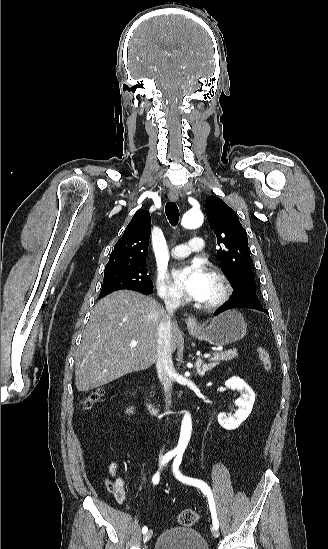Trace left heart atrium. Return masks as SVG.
I'll use <instances>...</instances> for the list:
<instances>
[{"label": "left heart atrium", "mask_w": 328, "mask_h": 549, "mask_svg": "<svg viewBox=\"0 0 328 549\" xmlns=\"http://www.w3.org/2000/svg\"><path fill=\"white\" fill-rule=\"evenodd\" d=\"M209 277L210 274L206 269L192 264L174 273V288L187 300L201 301L205 296Z\"/></svg>", "instance_id": "obj_1"}]
</instances>
